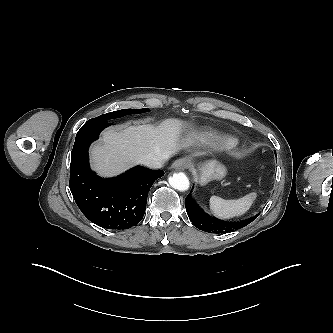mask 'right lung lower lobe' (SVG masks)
I'll list each match as a JSON object with an SVG mask.
<instances>
[{
  "instance_id": "obj_1",
  "label": "right lung lower lobe",
  "mask_w": 333,
  "mask_h": 333,
  "mask_svg": "<svg viewBox=\"0 0 333 333\" xmlns=\"http://www.w3.org/2000/svg\"><path fill=\"white\" fill-rule=\"evenodd\" d=\"M108 120H88L78 131L71 153L69 186L76 204L93 223L107 229L136 226L144 216L148 191L162 170L137 166L103 179L89 167L88 148L109 126Z\"/></svg>"
}]
</instances>
